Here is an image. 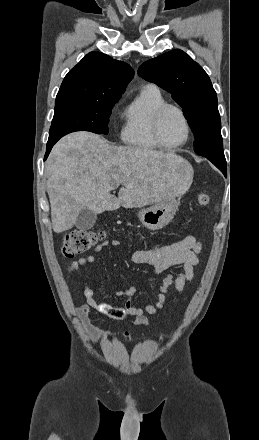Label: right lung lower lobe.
<instances>
[{
    "instance_id": "right-lung-lower-lobe-1",
    "label": "right lung lower lobe",
    "mask_w": 259,
    "mask_h": 440,
    "mask_svg": "<svg viewBox=\"0 0 259 440\" xmlns=\"http://www.w3.org/2000/svg\"><path fill=\"white\" fill-rule=\"evenodd\" d=\"M58 140H52V141H48L47 143V149H46V154H45V159L47 158L48 154L50 153L53 145L57 142Z\"/></svg>"
}]
</instances>
